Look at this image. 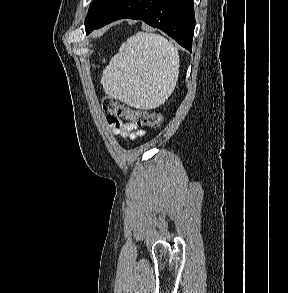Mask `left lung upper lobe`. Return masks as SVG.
<instances>
[{
    "label": "left lung upper lobe",
    "instance_id": "obj_1",
    "mask_svg": "<svg viewBox=\"0 0 288 293\" xmlns=\"http://www.w3.org/2000/svg\"><path fill=\"white\" fill-rule=\"evenodd\" d=\"M119 0H94L90 5L86 20L85 28L86 34L92 28V26L101 20L118 2Z\"/></svg>",
    "mask_w": 288,
    "mask_h": 293
}]
</instances>
